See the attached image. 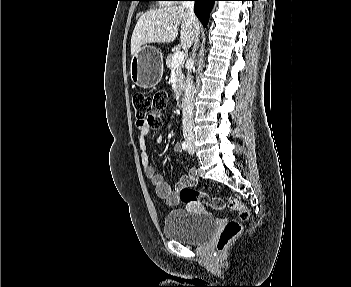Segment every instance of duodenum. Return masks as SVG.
Here are the masks:
<instances>
[{
    "label": "duodenum",
    "instance_id": "obj_1",
    "mask_svg": "<svg viewBox=\"0 0 351 287\" xmlns=\"http://www.w3.org/2000/svg\"><path fill=\"white\" fill-rule=\"evenodd\" d=\"M176 104L178 106H183L184 105L183 93L181 91H178L176 93Z\"/></svg>",
    "mask_w": 351,
    "mask_h": 287
}]
</instances>
